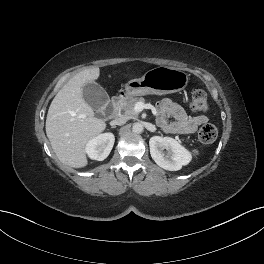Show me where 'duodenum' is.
I'll list each match as a JSON object with an SVG mask.
<instances>
[{
    "mask_svg": "<svg viewBox=\"0 0 264 264\" xmlns=\"http://www.w3.org/2000/svg\"><path fill=\"white\" fill-rule=\"evenodd\" d=\"M120 100H121L120 94L112 97L110 104L106 110V117L107 118H114L117 116Z\"/></svg>",
    "mask_w": 264,
    "mask_h": 264,
    "instance_id": "1",
    "label": "duodenum"
}]
</instances>
